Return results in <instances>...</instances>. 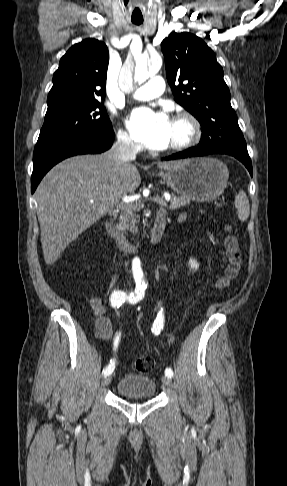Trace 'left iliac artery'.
<instances>
[{
	"label": "left iliac artery",
	"mask_w": 287,
	"mask_h": 486,
	"mask_svg": "<svg viewBox=\"0 0 287 486\" xmlns=\"http://www.w3.org/2000/svg\"><path fill=\"white\" fill-rule=\"evenodd\" d=\"M138 296H136L134 298V300H129L130 303L134 304L137 302L138 300ZM163 326H164V313H163V309H161L158 314H157V317H156V320L154 321L153 323V326H152V332L155 334V335H158L160 333V331L163 329ZM165 375L169 378L173 377V370L171 368H166L165 370Z\"/></svg>",
	"instance_id": "1"
}]
</instances>
